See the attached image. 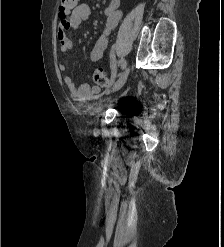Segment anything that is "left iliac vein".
<instances>
[{"label":"left iliac vein","mask_w":224,"mask_h":247,"mask_svg":"<svg viewBox=\"0 0 224 247\" xmlns=\"http://www.w3.org/2000/svg\"><path fill=\"white\" fill-rule=\"evenodd\" d=\"M130 73V67L128 66L125 71L121 74L115 85L113 86L112 91H117L119 90L127 81L128 76Z\"/></svg>","instance_id":"left-iliac-vein-1"}]
</instances>
